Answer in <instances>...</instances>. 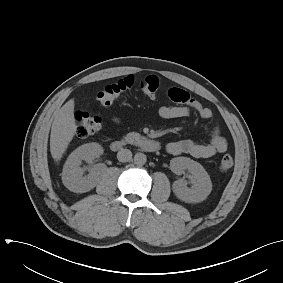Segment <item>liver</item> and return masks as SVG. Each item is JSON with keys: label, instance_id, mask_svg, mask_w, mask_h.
Segmentation results:
<instances>
[{"label": "liver", "instance_id": "obj_1", "mask_svg": "<svg viewBox=\"0 0 283 283\" xmlns=\"http://www.w3.org/2000/svg\"><path fill=\"white\" fill-rule=\"evenodd\" d=\"M76 131L74 99H70L54 113L50 135V152L56 162L61 160Z\"/></svg>", "mask_w": 283, "mask_h": 283}]
</instances>
